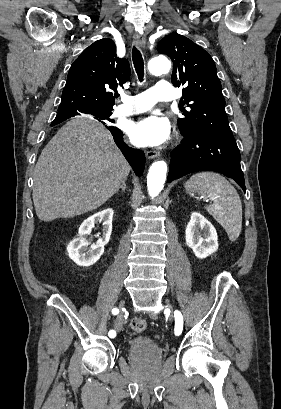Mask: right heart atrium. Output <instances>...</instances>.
Returning a JSON list of instances; mask_svg holds the SVG:
<instances>
[{"mask_svg":"<svg viewBox=\"0 0 281 409\" xmlns=\"http://www.w3.org/2000/svg\"><path fill=\"white\" fill-rule=\"evenodd\" d=\"M123 131H124L125 134H128V133H129V127H128V125H124Z\"/></svg>","mask_w":281,"mask_h":409,"instance_id":"d8ad5b80","label":"right heart atrium"}]
</instances>
